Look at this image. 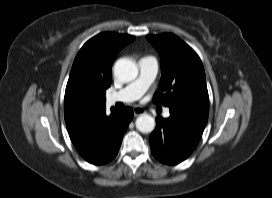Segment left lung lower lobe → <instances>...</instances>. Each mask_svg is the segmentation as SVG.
Listing matches in <instances>:
<instances>
[{
    "instance_id": "0a47b994",
    "label": "left lung lower lobe",
    "mask_w": 272,
    "mask_h": 198,
    "mask_svg": "<svg viewBox=\"0 0 272 198\" xmlns=\"http://www.w3.org/2000/svg\"><path fill=\"white\" fill-rule=\"evenodd\" d=\"M208 120V114L183 108H170V117H157L149 142L154 157L174 165L190 156L196 148Z\"/></svg>"
}]
</instances>
